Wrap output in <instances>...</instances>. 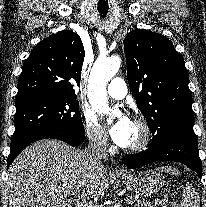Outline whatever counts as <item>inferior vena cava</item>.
I'll return each mask as SVG.
<instances>
[{"label":"inferior vena cava","instance_id":"1","mask_svg":"<svg viewBox=\"0 0 206 207\" xmlns=\"http://www.w3.org/2000/svg\"><path fill=\"white\" fill-rule=\"evenodd\" d=\"M89 164L95 169H104L103 160L108 158L107 156V138L104 134L94 132L89 135V144L86 151ZM83 207H100L93 204L91 200L84 201L81 204Z\"/></svg>","mask_w":206,"mask_h":207}]
</instances>
